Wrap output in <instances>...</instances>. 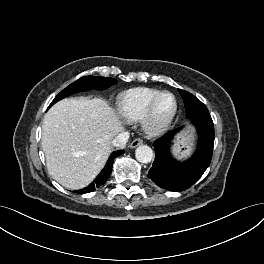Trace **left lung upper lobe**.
I'll return each mask as SVG.
<instances>
[{
  "label": "left lung upper lobe",
  "mask_w": 264,
  "mask_h": 264,
  "mask_svg": "<svg viewBox=\"0 0 264 264\" xmlns=\"http://www.w3.org/2000/svg\"><path fill=\"white\" fill-rule=\"evenodd\" d=\"M179 93L183 98L188 119L193 120L197 117L210 115L207 107L191 93L181 89H179Z\"/></svg>",
  "instance_id": "1"
}]
</instances>
